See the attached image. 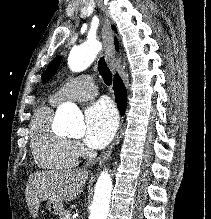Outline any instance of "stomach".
I'll use <instances>...</instances> for the list:
<instances>
[{"label": "stomach", "mask_w": 211, "mask_h": 219, "mask_svg": "<svg viewBox=\"0 0 211 219\" xmlns=\"http://www.w3.org/2000/svg\"><path fill=\"white\" fill-rule=\"evenodd\" d=\"M47 210L53 215H61L63 213V204L48 200L46 204Z\"/></svg>", "instance_id": "obj_1"}]
</instances>
